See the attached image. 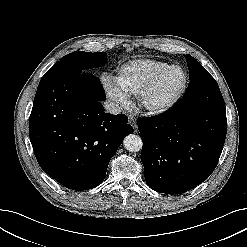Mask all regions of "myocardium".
<instances>
[{
    "label": "myocardium",
    "instance_id": "f54148a6",
    "mask_svg": "<svg viewBox=\"0 0 247 247\" xmlns=\"http://www.w3.org/2000/svg\"><path fill=\"white\" fill-rule=\"evenodd\" d=\"M178 69L183 74V81L179 89L174 92L167 99L155 102L153 101V94L155 93L161 78L170 70ZM188 83V76L183 67L179 65H169L157 71L149 82L142 88L138 94L140 106L149 114L159 115L169 111L180 100L184 94Z\"/></svg>",
    "mask_w": 247,
    "mask_h": 247
}]
</instances>
